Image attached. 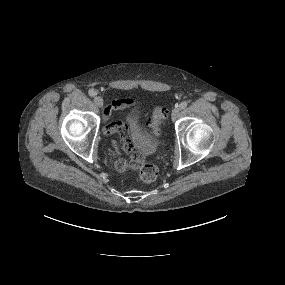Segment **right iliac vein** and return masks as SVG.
Segmentation results:
<instances>
[{
    "mask_svg": "<svg viewBox=\"0 0 285 285\" xmlns=\"http://www.w3.org/2000/svg\"><path fill=\"white\" fill-rule=\"evenodd\" d=\"M94 102H95V104H96L98 107H103L104 101H103V98H102V97L96 96V97L94 98Z\"/></svg>",
    "mask_w": 285,
    "mask_h": 285,
    "instance_id": "right-iliac-vein-1",
    "label": "right iliac vein"
}]
</instances>
